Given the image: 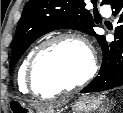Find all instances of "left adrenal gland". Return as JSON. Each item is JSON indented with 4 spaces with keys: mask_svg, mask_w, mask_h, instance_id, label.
<instances>
[{
    "mask_svg": "<svg viewBox=\"0 0 123 113\" xmlns=\"http://www.w3.org/2000/svg\"><path fill=\"white\" fill-rule=\"evenodd\" d=\"M111 104H112V102H111ZM113 105H115V104H113ZM107 111H109L108 108L102 107V108L100 109V112H101V113H107Z\"/></svg>",
    "mask_w": 123,
    "mask_h": 113,
    "instance_id": "a2214340",
    "label": "left adrenal gland"
}]
</instances>
